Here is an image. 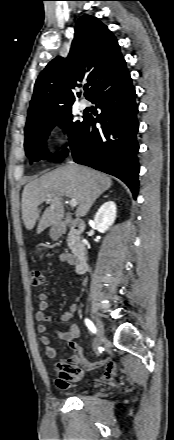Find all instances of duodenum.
<instances>
[{"label":"duodenum","mask_w":174,"mask_h":440,"mask_svg":"<svg viewBox=\"0 0 174 440\" xmlns=\"http://www.w3.org/2000/svg\"><path fill=\"white\" fill-rule=\"evenodd\" d=\"M85 229V224L82 220H73L68 223H62L56 227V232L59 236L63 235L67 230H70L72 235V253L75 260L76 271L83 274L87 270L86 264V249L80 240V235Z\"/></svg>","instance_id":"obj_1"}]
</instances>
